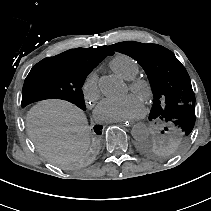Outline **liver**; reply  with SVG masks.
Wrapping results in <instances>:
<instances>
[{
  "mask_svg": "<svg viewBox=\"0 0 211 211\" xmlns=\"http://www.w3.org/2000/svg\"><path fill=\"white\" fill-rule=\"evenodd\" d=\"M26 127L36 148L51 161L75 163L90 143V127L84 112L70 102L49 99L27 113Z\"/></svg>",
  "mask_w": 211,
  "mask_h": 211,
  "instance_id": "6515ba94",
  "label": "liver"
}]
</instances>
